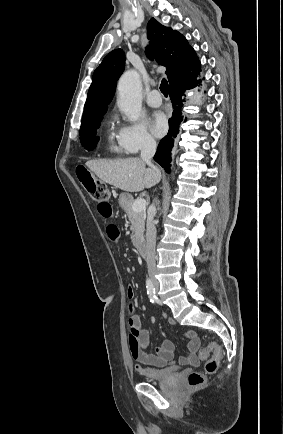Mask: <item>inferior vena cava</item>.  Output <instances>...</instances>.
Wrapping results in <instances>:
<instances>
[{
	"label": "inferior vena cava",
	"instance_id": "inferior-vena-cava-1",
	"mask_svg": "<svg viewBox=\"0 0 283 434\" xmlns=\"http://www.w3.org/2000/svg\"><path fill=\"white\" fill-rule=\"evenodd\" d=\"M156 151V141L148 137L145 139L144 145L141 150V159L147 163L153 170H158L151 162L152 157ZM156 208L152 205L148 212L147 229H146V261L148 267V274L152 281L156 283V263H155V246H156V228L153 223Z\"/></svg>",
	"mask_w": 283,
	"mask_h": 434
}]
</instances>
